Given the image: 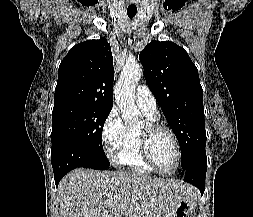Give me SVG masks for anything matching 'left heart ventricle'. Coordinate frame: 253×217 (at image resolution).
I'll list each match as a JSON object with an SVG mask.
<instances>
[{"mask_svg": "<svg viewBox=\"0 0 253 217\" xmlns=\"http://www.w3.org/2000/svg\"><path fill=\"white\" fill-rule=\"evenodd\" d=\"M150 150L156 164L160 169L164 171H171L175 167V145L167 132H158L151 138Z\"/></svg>", "mask_w": 253, "mask_h": 217, "instance_id": "left-heart-ventricle-1", "label": "left heart ventricle"}]
</instances>
